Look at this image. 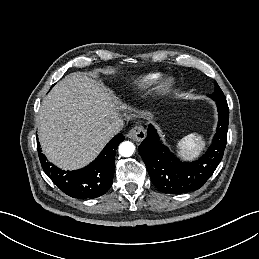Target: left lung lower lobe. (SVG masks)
Instances as JSON below:
<instances>
[{
	"label": "left lung lower lobe",
	"instance_id": "0a47b994",
	"mask_svg": "<svg viewBox=\"0 0 259 259\" xmlns=\"http://www.w3.org/2000/svg\"><path fill=\"white\" fill-rule=\"evenodd\" d=\"M218 107V126L212 145L195 162L179 161L163 145L152 125L139 146V153L152 183L163 193L181 194L199 189L219 165L227 143L229 108L226 100H214Z\"/></svg>",
	"mask_w": 259,
	"mask_h": 259
}]
</instances>
